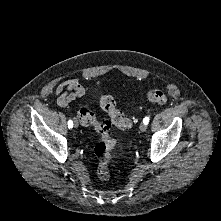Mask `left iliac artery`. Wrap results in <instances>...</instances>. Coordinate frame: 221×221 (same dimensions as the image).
Returning a JSON list of instances; mask_svg holds the SVG:
<instances>
[{
    "label": "left iliac artery",
    "mask_w": 221,
    "mask_h": 221,
    "mask_svg": "<svg viewBox=\"0 0 221 221\" xmlns=\"http://www.w3.org/2000/svg\"><path fill=\"white\" fill-rule=\"evenodd\" d=\"M149 120H150L149 117L146 116V117L143 119V123L147 125V124L149 123Z\"/></svg>",
    "instance_id": "1"
}]
</instances>
